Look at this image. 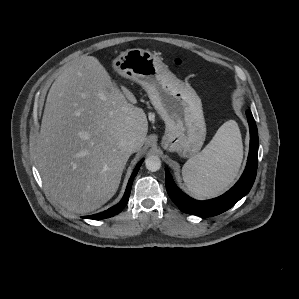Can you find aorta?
<instances>
[{
    "mask_svg": "<svg viewBox=\"0 0 299 299\" xmlns=\"http://www.w3.org/2000/svg\"><path fill=\"white\" fill-rule=\"evenodd\" d=\"M146 168L151 172H156L161 167V160L156 155L148 156L145 160Z\"/></svg>",
    "mask_w": 299,
    "mask_h": 299,
    "instance_id": "762f6f07",
    "label": "aorta"
}]
</instances>
